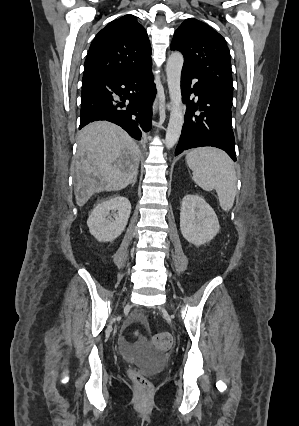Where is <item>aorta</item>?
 Here are the masks:
<instances>
[{
    "mask_svg": "<svg viewBox=\"0 0 299 426\" xmlns=\"http://www.w3.org/2000/svg\"><path fill=\"white\" fill-rule=\"evenodd\" d=\"M184 63L183 55L172 52L166 65L167 84L172 104L170 119L166 130L165 145L171 149L178 142L184 124L181 94V71Z\"/></svg>",
    "mask_w": 299,
    "mask_h": 426,
    "instance_id": "aorta-1",
    "label": "aorta"
}]
</instances>
